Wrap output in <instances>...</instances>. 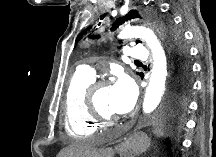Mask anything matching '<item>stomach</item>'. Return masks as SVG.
Segmentation results:
<instances>
[{
  "instance_id": "stomach-1",
  "label": "stomach",
  "mask_w": 216,
  "mask_h": 157,
  "mask_svg": "<svg viewBox=\"0 0 216 157\" xmlns=\"http://www.w3.org/2000/svg\"><path fill=\"white\" fill-rule=\"evenodd\" d=\"M149 145L150 140L145 133L134 132L123 140L121 147L128 155H138L146 151Z\"/></svg>"
}]
</instances>
